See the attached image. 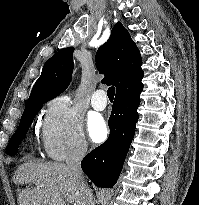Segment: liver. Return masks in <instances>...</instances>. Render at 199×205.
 Here are the masks:
<instances>
[{"mask_svg":"<svg viewBox=\"0 0 199 205\" xmlns=\"http://www.w3.org/2000/svg\"><path fill=\"white\" fill-rule=\"evenodd\" d=\"M13 182L26 185L18 194L19 205H85L79 182L63 163L25 162L14 173Z\"/></svg>","mask_w":199,"mask_h":205,"instance_id":"1","label":"liver"}]
</instances>
